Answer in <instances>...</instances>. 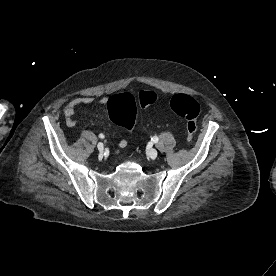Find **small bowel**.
<instances>
[{
    "label": "small bowel",
    "instance_id": "c3829d8e",
    "mask_svg": "<svg viewBox=\"0 0 276 276\" xmlns=\"http://www.w3.org/2000/svg\"><path fill=\"white\" fill-rule=\"evenodd\" d=\"M108 102L107 97H94V96H80L75 97L64 108V116L66 120V124L70 127H73L76 124V120L74 118V115L78 108L82 105H106ZM127 146V141L125 139L120 140L117 143V150L116 152H119L121 149L125 148Z\"/></svg>",
    "mask_w": 276,
    "mask_h": 276
}]
</instances>
